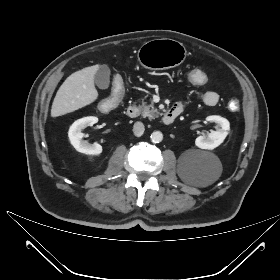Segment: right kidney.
Here are the masks:
<instances>
[{
	"label": "right kidney",
	"instance_id": "ca27d5eb",
	"mask_svg": "<svg viewBox=\"0 0 280 280\" xmlns=\"http://www.w3.org/2000/svg\"><path fill=\"white\" fill-rule=\"evenodd\" d=\"M98 122L94 116L84 117L76 120L70 127L68 136L73 147L80 153L87 155H99L102 152V146L98 143L90 144L83 140L82 130L88 126H93Z\"/></svg>",
	"mask_w": 280,
	"mask_h": 280
}]
</instances>
